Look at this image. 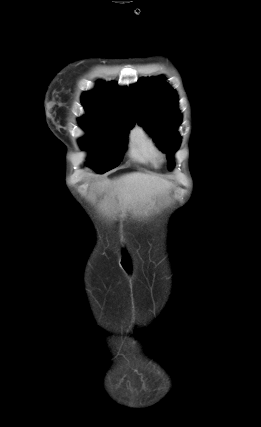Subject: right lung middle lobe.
Here are the masks:
<instances>
[{
  "mask_svg": "<svg viewBox=\"0 0 261 427\" xmlns=\"http://www.w3.org/2000/svg\"><path fill=\"white\" fill-rule=\"evenodd\" d=\"M78 122L87 132V136L79 141L81 147L95 148L90 154L88 165L99 173L118 166L126 150L127 134L134 123L88 118H80Z\"/></svg>",
  "mask_w": 261,
  "mask_h": 427,
  "instance_id": "right-lung-middle-lobe-1",
  "label": "right lung middle lobe"
}]
</instances>
